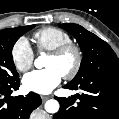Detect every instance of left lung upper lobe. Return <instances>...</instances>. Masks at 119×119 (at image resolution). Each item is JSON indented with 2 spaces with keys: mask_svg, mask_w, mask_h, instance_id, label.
Segmentation results:
<instances>
[{
  "mask_svg": "<svg viewBox=\"0 0 119 119\" xmlns=\"http://www.w3.org/2000/svg\"><path fill=\"white\" fill-rule=\"evenodd\" d=\"M78 41L83 59L72 84H79L102 74H119V59L111 47L95 34L77 24L60 25Z\"/></svg>",
  "mask_w": 119,
  "mask_h": 119,
  "instance_id": "obj_1",
  "label": "left lung upper lobe"
}]
</instances>
